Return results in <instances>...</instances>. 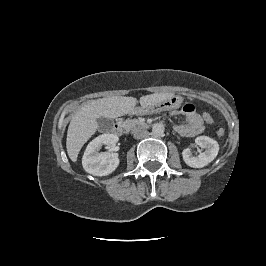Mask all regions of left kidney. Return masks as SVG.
Wrapping results in <instances>:
<instances>
[{"instance_id": "1", "label": "left kidney", "mask_w": 266, "mask_h": 266, "mask_svg": "<svg viewBox=\"0 0 266 266\" xmlns=\"http://www.w3.org/2000/svg\"><path fill=\"white\" fill-rule=\"evenodd\" d=\"M197 145L204 148L198 156H193L191 149L186 148L182 152L184 162L193 168H202L212 162L219 152V144L207 136H199L195 139Z\"/></svg>"}]
</instances>
